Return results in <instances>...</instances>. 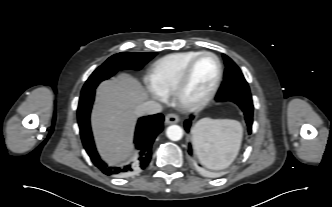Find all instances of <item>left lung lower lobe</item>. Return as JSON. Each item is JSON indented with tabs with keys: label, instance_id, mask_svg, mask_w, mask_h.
<instances>
[{
	"label": "left lung lower lobe",
	"instance_id": "1",
	"mask_svg": "<svg viewBox=\"0 0 332 207\" xmlns=\"http://www.w3.org/2000/svg\"><path fill=\"white\" fill-rule=\"evenodd\" d=\"M216 100L217 101H232V102L236 103L241 108V110L243 111V113L245 115V120H246L247 127H248V133L251 134L252 123H253V109H254L252 97H246V96H240V95L222 96V97L216 96ZM193 118L194 117L192 116L190 119H188L184 122L185 130L188 133L190 131V127H191ZM188 153L191 156L193 155V150H192L191 144H189V146H188Z\"/></svg>",
	"mask_w": 332,
	"mask_h": 207
}]
</instances>
